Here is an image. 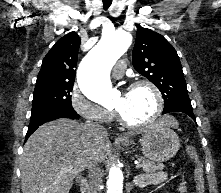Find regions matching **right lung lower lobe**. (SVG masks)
<instances>
[{"label": "right lung lower lobe", "instance_id": "98d812e1", "mask_svg": "<svg viewBox=\"0 0 221 193\" xmlns=\"http://www.w3.org/2000/svg\"><path fill=\"white\" fill-rule=\"evenodd\" d=\"M80 116L75 112L74 109H62V108H51L39 111L37 113L31 114L30 124L28 126V131L25 140L42 124L52 121L58 118H70L78 119Z\"/></svg>", "mask_w": 221, "mask_h": 193}]
</instances>
